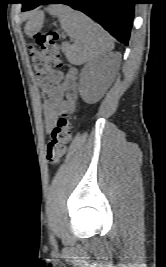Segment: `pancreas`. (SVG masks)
<instances>
[{
    "mask_svg": "<svg viewBox=\"0 0 166 267\" xmlns=\"http://www.w3.org/2000/svg\"><path fill=\"white\" fill-rule=\"evenodd\" d=\"M63 48L66 49V45H64Z\"/></svg>",
    "mask_w": 166,
    "mask_h": 267,
    "instance_id": "pancreas-1",
    "label": "pancreas"
}]
</instances>
